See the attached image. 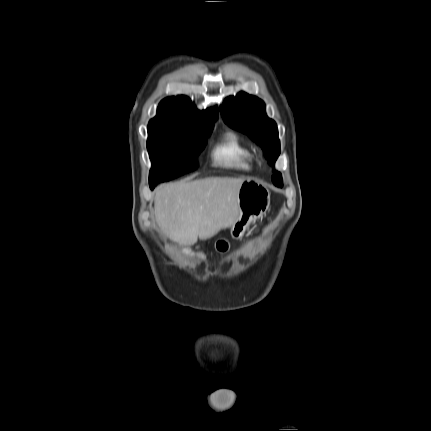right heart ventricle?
Wrapping results in <instances>:
<instances>
[{
    "label": "right heart ventricle",
    "mask_w": 431,
    "mask_h": 431,
    "mask_svg": "<svg viewBox=\"0 0 431 431\" xmlns=\"http://www.w3.org/2000/svg\"><path fill=\"white\" fill-rule=\"evenodd\" d=\"M216 165L249 171L254 165V155L250 148L233 133L227 134L213 150Z\"/></svg>",
    "instance_id": "e07e8e85"
}]
</instances>
